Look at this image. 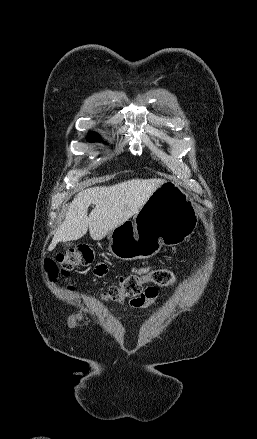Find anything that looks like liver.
Wrapping results in <instances>:
<instances>
[{
  "label": "liver",
  "instance_id": "1",
  "mask_svg": "<svg viewBox=\"0 0 257 439\" xmlns=\"http://www.w3.org/2000/svg\"><path fill=\"white\" fill-rule=\"evenodd\" d=\"M165 180L132 179L112 186H98L79 192L48 247L58 242L78 240L89 228L93 240L103 239L111 230L134 216ZM95 208L88 216V207Z\"/></svg>",
  "mask_w": 257,
  "mask_h": 439
}]
</instances>
